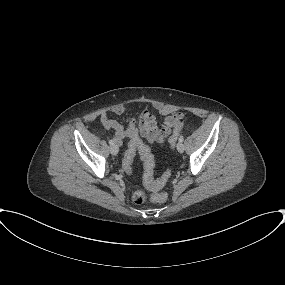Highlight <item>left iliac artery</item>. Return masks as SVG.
Masks as SVG:
<instances>
[{"instance_id":"44dca946","label":"left iliac artery","mask_w":285,"mask_h":285,"mask_svg":"<svg viewBox=\"0 0 285 285\" xmlns=\"http://www.w3.org/2000/svg\"><path fill=\"white\" fill-rule=\"evenodd\" d=\"M184 141V137L183 136H180L179 137V142H183Z\"/></svg>"}]
</instances>
